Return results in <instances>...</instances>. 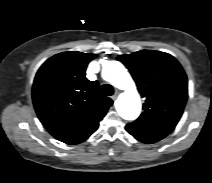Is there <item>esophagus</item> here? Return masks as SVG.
<instances>
[{
    "instance_id": "esophagus-1",
    "label": "esophagus",
    "mask_w": 212,
    "mask_h": 183,
    "mask_svg": "<svg viewBox=\"0 0 212 183\" xmlns=\"http://www.w3.org/2000/svg\"><path fill=\"white\" fill-rule=\"evenodd\" d=\"M118 95H119V91H116L115 94L113 96H111V99L116 100Z\"/></svg>"
}]
</instances>
